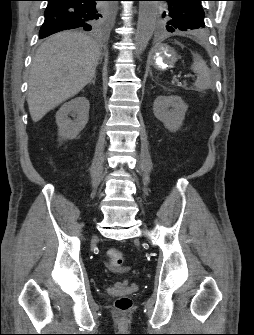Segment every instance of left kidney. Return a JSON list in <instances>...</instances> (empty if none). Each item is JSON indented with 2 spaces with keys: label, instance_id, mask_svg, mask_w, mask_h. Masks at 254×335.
Masks as SVG:
<instances>
[{
  "label": "left kidney",
  "instance_id": "left-kidney-1",
  "mask_svg": "<svg viewBox=\"0 0 254 335\" xmlns=\"http://www.w3.org/2000/svg\"><path fill=\"white\" fill-rule=\"evenodd\" d=\"M187 109L188 105L176 95L158 96L153 103L155 117L171 132L182 126Z\"/></svg>",
  "mask_w": 254,
  "mask_h": 335
}]
</instances>
